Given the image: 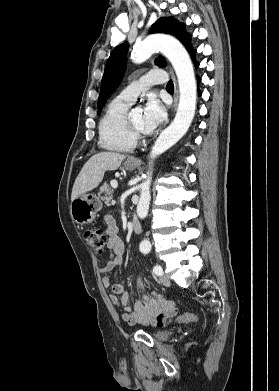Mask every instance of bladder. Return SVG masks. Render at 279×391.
Listing matches in <instances>:
<instances>
[{"mask_svg":"<svg viewBox=\"0 0 279 391\" xmlns=\"http://www.w3.org/2000/svg\"><path fill=\"white\" fill-rule=\"evenodd\" d=\"M153 335L156 340L165 341L170 338L172 333L167 330H161V331H156Z\"/></svg>","mask_w":279,"mask_h":391,"instance_id":"31cf9c89","label":"bladder"}]
</instances>
